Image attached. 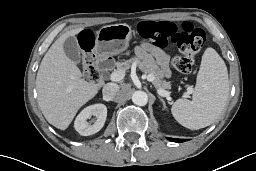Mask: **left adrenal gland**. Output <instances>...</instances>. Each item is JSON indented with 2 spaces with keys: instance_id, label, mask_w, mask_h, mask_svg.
<instances>
[{
  "instance_id": "obj_1",
  "label": "left adrenal gland",
  "mask_w": 256,
  "mask_h": 171,
  "mask_svg": "<svg viewBox=\"0 0 256 171\" xmlns=\"http://www.w3.org/2000/svg\"><path fill=\"white\" fill-rule=\"evenodd\" d=\"M159 99H160V100H161V102L163 103L164 109H166L167 107H166V103H165V101H164L161 97H159Z\"/></svg>"
}]
</instances>
